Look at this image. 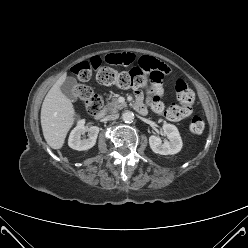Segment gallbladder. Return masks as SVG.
Segmentation results:
<instances>
[{"label": "gallbladder", "mask_w": 248, "mask_h": 248, "mask_svg": "<svg viewBox=\"0 0 248 248\" xmlns=\"http://www.w3.org/2000/svg\"><path fill=\"white\" fill-rule=\"evenodd\" d=\"M77 86V80L73 77H68L60 86L61 92L69 99H76L74 90Z\"/></svg>", "instance_id": "bac80fb5"}]
</instances>
